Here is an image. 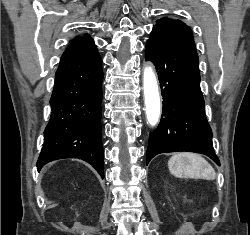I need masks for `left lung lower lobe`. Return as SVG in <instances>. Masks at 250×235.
Here are the masks:
<instances>
[{
	"label": "left lung lower lobe",
	"instance_id": "1",
	"mask_svg": "<svg viewBox=\"0 0 250 235\" xmlns=\"http://www.w3.org/2000/svg\"><path fill=\"white\" fill-rule=\"evenodd\" d=\"M145 58L155 64L164 100L161 122L149 135L146 164L160 153L187 151L207 155L220 165L205 116L194 40L151 34Z\"/></svg>",
	"mask_w": 250,
	"mask_h": 235
}]
</instances>
